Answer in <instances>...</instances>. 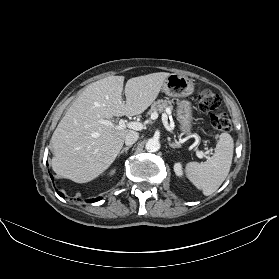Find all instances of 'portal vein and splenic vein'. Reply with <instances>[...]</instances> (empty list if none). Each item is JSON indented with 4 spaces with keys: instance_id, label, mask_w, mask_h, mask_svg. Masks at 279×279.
I'll return each mask as SVG.
<instances>
[{
    "instance_id": "portal-vein-and-splenic-vein-1",
    "label": "portal vein and splenic vein",
    "mask_w": 279,
    "mask_h": 279,
    "mask_svg": "<svg viewBox=\"0 0 279 279\" xmlns=\"http://www.w3.org/2000/svg\"><path fill=\"white\" fill-rule=\"evenodd\" d=\"M152 119H157L158 118V114L157 113H153L151 116ZM162 122L164 124V126L167 128V130L171 131V128L168 126V122H167V116L163 115L162 116ZM99 123L103 124V125H107V126H111L114 127V124L110 121V120H99ZM126 127L130 128V129H134L137 131H140L144 128V124L141 122H136V121H131V122H127L123 119H121L118 123V125L115 126L116 129H125ZM196 155L198 158H203L205 157L204 153L196 150Z\"/></svg>"
}]
</instances>
